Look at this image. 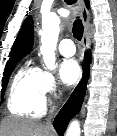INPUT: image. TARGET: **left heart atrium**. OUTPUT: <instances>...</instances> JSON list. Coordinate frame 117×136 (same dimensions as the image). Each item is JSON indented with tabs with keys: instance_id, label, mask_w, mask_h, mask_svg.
<instances>
[{
	"instance_id": "39dd6f15",
	"label": "left heart atrium",
	"mask_w": 117,
	"mask_h": 136,
	"mask_svg": "<svg viewBox=\"0 0 117 136\" xmlns=\"http://www.w3.org/2000/svg\"><path fill=\"white\" fill-rule=\"evenodd\" d=\"M81 68L74 59L64 60L59 68V76L66 86L74 85L80 78Z\"/></svg>"
}]
</instances>
